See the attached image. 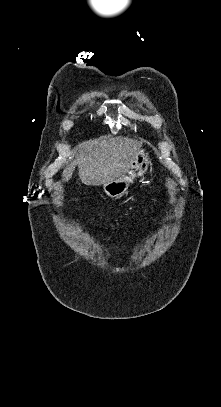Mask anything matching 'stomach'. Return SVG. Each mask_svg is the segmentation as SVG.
Listing matches in <instances>:
<instances>
[{
  "mask_svg": "<svg viewBox=\"0 0 221 407\" xmlns=\"http://www.w3.org/2000/svg\"><path fill=\"white\" fill-rule=\"evenodd\" d=\"M151 165V159L144 149H140L131 162L129 168L118 178L103 184V190L110 198L120 199L128 193L130 184L136 178H144Z\"/></svg>",
  "mask_w": 221,
  "mask_h": 407,
  "instance_id": "obj_1",
  "label": "stomach"
}]
</instances>
